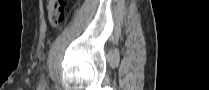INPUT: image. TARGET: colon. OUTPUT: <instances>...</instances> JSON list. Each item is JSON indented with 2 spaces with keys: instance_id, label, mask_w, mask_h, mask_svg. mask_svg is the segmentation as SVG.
Here are the masks:
<instances>
[{
  "instance_id": "obj_1",
  "label": "colon",
  "mask_w": 209,
  "mask_h": 90,
  "mask_svg": "<svg viewBox=\"0 0 209 90\" xmlns=\"http://www.w3.org/2000/svg\"><path fill=\"white\" fill-rule=\"evenodd\" d=\"M65 0H50L48 1V20L54 27L60 26L66 19Z\"/></svg>"
}]
</instances>
